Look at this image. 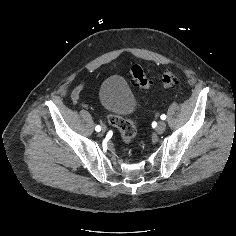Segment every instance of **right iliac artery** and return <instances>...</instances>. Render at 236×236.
I'll return each instance as SVG.
<instances>
[{"label":"right iliac artery","instance_id":"82829eb1","mask_svg":"<svg viewBox=\"0 0 236 236\" xmlns=\"http://www.w3.org/2000/svg\"><path fill=\"white\" fill-rule=\"evenodd\" d=\"M95 130H96L97 132L101 131V126H100V125H97V126L95 127Z\"/></svg>","mask_w":236,"mask_h":236}]
</instances>
